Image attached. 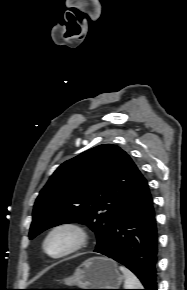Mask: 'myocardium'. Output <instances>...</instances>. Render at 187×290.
Here are the masks:
<instances>
[{
  "label": "myocardium",
  "mask_w": 187,
  "mask_h": 290,
  "mask_svg": "<svg viewBox=\"0 0 187 290\" xmlns=\"http://www.w3.org/2000/svg\"><path fill=\"white\" fill-rule=\"evenodd\" d=\"M59 232H66L71 235V244L59 253H51L48 250L49 240ZM89 240L87 229L80 223L75 221H64L52 226L46 233L43 240V250L47 256L53 259H60L69 256L86 246Z\"/></svg>",
  "instance_id": "f54148a6"
}]
</instances>
